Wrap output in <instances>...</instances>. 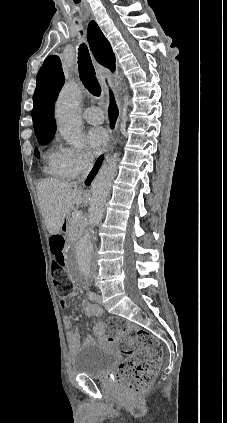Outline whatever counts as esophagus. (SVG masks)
I'll return each instance as SVG.
<instances>
[{"instance_id":"34e87169","label":"esophagus","mask_w":227,"mask_h":423,"mask_svg":"<svg viewBox=\"0 0 227 423\" xmlns=\"http://www.w3.org/2000/svg\"><path fill=\"white\" fill-rule=\"evenodd\" d=\"M98 73L107 96L106 114L109 120L108 123L111 126V130H116V123H118L121 113L120 98L111 83V72L102 66H98Z\"/></svg>"}]
</instances>
